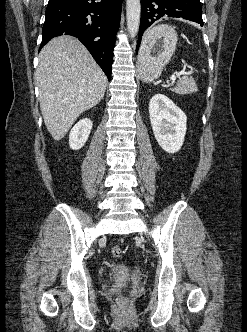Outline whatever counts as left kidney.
<instances>
[{"mask_svg":"<svg viewBox=\"0 0 247 332\" xmlns=\"http://www.w3.org/2000/svg\"><path fill=\"white\" fill-rule=\"evenodd\" d=\"M149 115L160 147L168 153L178 152L186 134V114L165 95L156 94L150 100Z\"/></svg>","mask_w":247,"mask_h":332,"instance_id":"1","label":"left kidney"}]
</instances>
